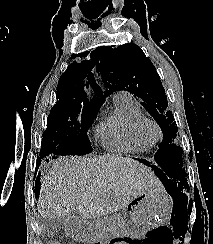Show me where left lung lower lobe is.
I'll use <instances>...</instances> for the list:
<instances>
[{"label":"left lung lower lobe","instance_id":"left-lung-lower-lobe-1","mask_svg":"<svg viewBox=\"0 0 213 244\" xmlns=\"http://www.w3.org/2000/svg\"><path fill=\"white\" fill-rule=\"evenodd\" d=\"M141 161L143 163H145L146 165L150 166L149 162H147L145 160H141ZM152 167H153L155 173L159 176L160 180L165 185L170 184V185L177 187L176 184L174 183L173 179H171V177H170L168 164L164 158H155Z\"/></svg>","mask_w":213,"mask_h":244}]
</instances>
